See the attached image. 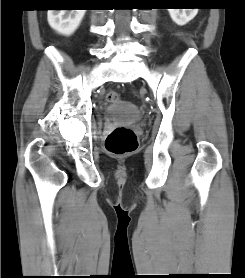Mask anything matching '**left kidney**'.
<instances>
[{
	"instance_id": "5707ae66",
	"label": "left kidney",
	"mask_w": 245,
	"mask_h": 278,
	"mask_svg": "<svg viewBox=\"0 0 245 278\" xmlns=\"http://www.w3.org/2000/svg\"><path fill=\"white\" fill-rule=\"evenodd\" d=\"M172 20L182 26L192 20L198 13V8L192 9H168Z\"/></svg>"
}]
</instances>
